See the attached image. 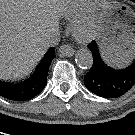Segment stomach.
<instances>
[{"mask_svg": "<svg viewBox=\"0 0 135 135\" xmlns=\"http://www.w3.org/2000/svg\"><path fill=\"white\" fill-rule=\"evenodd\" d=\"M99 38L106 58L117 52L135 51V13L125 4L103 0L99 19Z\"/></svg>", "mask_w": 135, "mask_h": 135, "instance_id": "1", "label": "stomach"}]
</instances>
